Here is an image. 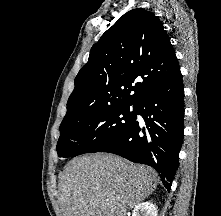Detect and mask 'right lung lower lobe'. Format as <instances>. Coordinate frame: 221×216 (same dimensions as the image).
<instances>
[{"instance_id":"98d812e1","label":"right lung lower lobe","mask_w":221,"mask_h":216,"mask_svg":"<svg viewBox=\"0 0 221 216\" xmlns=\"http://www.w3.org/2000/svg\"><path fill=\"white\" fill-rule=\"evenodd\" d=\"M136 110L146 127H141L135 120L99 152L113 153L153 167L170 191L184 131V87L180 70L141 100Z\"/></svg>"}]
</instances>
